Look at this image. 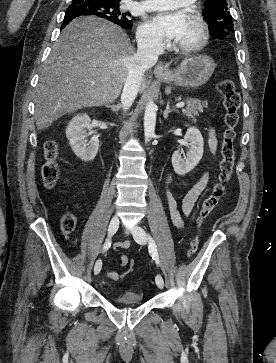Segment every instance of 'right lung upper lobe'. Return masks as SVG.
I'll return each mask as SVG.
<instances>
[{
    "instance_id": "right-lung-upper-lobe-1",
    "label": "right lung upper lobe",
    "mask_w": 276,
    "mask_h": 363,
    "mask_svg": "<svg viewBox=\"0 0 276 363\" xmlns=\"http://www.w3.org/2000/svg\"><path fill=\"white\" fill-rule=\"evenodd\" d=\"M101 1H108V2H114L119 3L120 0H101ZM119 25V24H118ZM121 27H124L125 25H120Z\"/></svg>"
}]
</instances>
